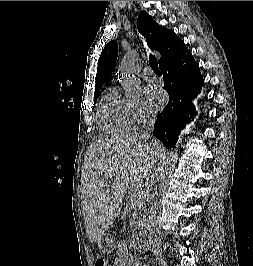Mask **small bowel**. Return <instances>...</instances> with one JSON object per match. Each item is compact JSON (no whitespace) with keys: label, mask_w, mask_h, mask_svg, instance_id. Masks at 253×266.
I'll return each instance as SVG.
<instances>
[{"label":"small bowel","mask_w":253,"mask_h":266,"mask_svg":"<svg viewBox=\"0 0 253 266\" xmlns=\"http://www.w3.org/2000/svg\"><path fill=\"white\" fill-rule=\"evenodd\" d=\"M127 262H128L127 265L136 266V264L134 262H132V261L127 260ZM143 266H150V265L145 264Z\"/></svg>","instance_id":"c3829d8e"}]
</instances>
